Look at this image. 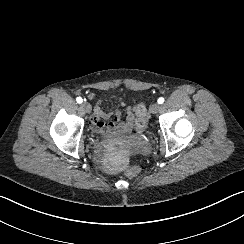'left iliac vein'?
Listing matches in <instances>:
<instances>
[{
	"mask_svg": "<svg viewBox=\"0 0 244 244\" xmlns=\"http://www.w3.org/2000/svg\"><path fill=\"white\" fill-rule=\"evenodd\" d=\"M160 108H161V106H160L159 104L154 103V104H152V106L150 107V112H151L152 114H156V113H158V111L160 110Z\"/></svg>",
	"mask_w": 244,
	"mask_h": 244,
	"instance_id": "left-iliac-vein-1",
	"label": "left iliac vein"
}]
</instances>
